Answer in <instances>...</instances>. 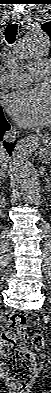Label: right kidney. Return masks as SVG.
<instances>
[{
  "label": "right kidney",
  "mask_w": 51,
  "mask_h": 393,
  "mask_svg": "<svg viewBox=\"0 0 51 393\" xmlns=\"http://www.w3.org/2000/svg\"><path fill=\"white\" fill-rule=\"evenodd\" d=\"M1 205H3V201H1Z\"/></svg>",
  "instance_id": "1"
}]
</instances>
